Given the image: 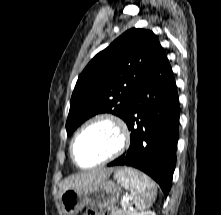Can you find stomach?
Instances as JSON below:
<instances>
[{"label": "stomach", "instance_id": "stomach-1", "mask_svg": "<svg viewBox=\"0 0 221 215\" xmlns=\"http://www.w3.org/2000/svg\"><path fill=\"white\" fill-rule=\"evenodd\" d=\"M136 172L138 175L142 174ZM123 187L120 180H103L86 189H67L60 197L63 211L66 215H77L85 206L112 209L118 202Z\"/></svg>", "mask_w": 221, "mask_h": 215}]
</instances>
